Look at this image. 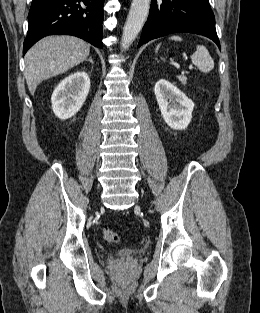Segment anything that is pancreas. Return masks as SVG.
Instances as JSON below:
<instances>
[{
	"label": "pancreas",
	"mask_w": 260,
	"mask_h": 313,
	"mask_svg": "<svg viewBox=\"0 0 260 313\" xmlns=\"http://www.w3.org/2000/svg\"><path fill=\"white\" fill-rule=\"evenodd\" d=\"M179 80L181 81L182 84H186L187 83V78L185 76H182L179 78Z\"/></svg>",
	"instance_id": "obj_1"
}]
</instances>
